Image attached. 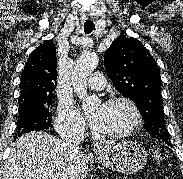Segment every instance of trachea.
Listing matches in <instances>:
<instances>
[{
    "label": "trachea",
    "instance_id": "3493384b",
    "mask_svg": "<svg viewBox=\"0 0 183 179\" xmlns=\"http://www.w3.org/2000/svg\"><path fill=\"white\" fill-rule=\"evenodd\" d=\"M95 29V25L92 21H87L84 23V32L85 34L91 33Z\"/></svg>",
    "mask_w": 183,
    "mask_h": 179
}]
</instances>
